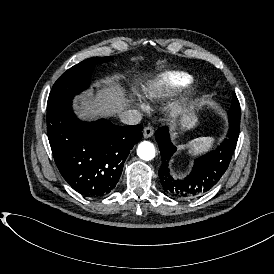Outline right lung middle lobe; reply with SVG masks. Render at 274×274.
<instances>
[{
  "label": "right lung middle lobe",
  "mask_w": 274,
  "mask_h": 274,
  "mask_svg": "<svg viewBox=\"0 0 274 274\" xmlns=\"http://www.w3.org/2000/svg\"><path fill=\"white\" fill-rule=\"evenodd\" d=\"M112 59L111 56L89 58L63 73L49 94L47 111H51L62 103L72 101L75 95L89 87L94 66Z\"/></svg>",
  "instance_id": "dd1d6c3e"
}]
</instances>
